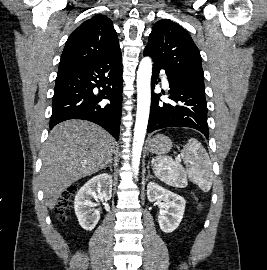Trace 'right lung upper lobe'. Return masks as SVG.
Returning <instances> with one entry per match:
<instances>
[{
  "label": "right lung upper lobe",
  "mask_w": 267,
  "mask_h": 270,
  "mask_svg": "<svg viewBox=\"0 0 267 270\" xmlns=\"http://www.w3.org/2000/svg\"><path fill=\"white\" fill-rule=\"evenodd\" d=\"M121 54L112 21L96 15L83 22L68 38L62 52L59 70L92 63Z\"/></svg>",
  "instance_id": "right-lung-upper-lobe-1"
}]
</instances>
